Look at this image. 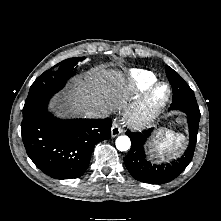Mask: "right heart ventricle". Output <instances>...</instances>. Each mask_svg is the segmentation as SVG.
I'll return each instance as SVG.
<instances>
[{
	"instance_id": "e07e8e85",
	"label": "right heart ventricle",
	"mask_w": 221,
	"mask_h": 221,
	"mask_svg": "<svg viewBox=\"0 0 221 221\" xmlns=\"http://www.w3.org/2000/svg\"><path fill=\"white\" fill-rule=\"evenodd\" d=\"M156 80V75L147 70L133 69L128 75L129 86L138 92L148 90Z\"/></svg>"
}]
</instances>
